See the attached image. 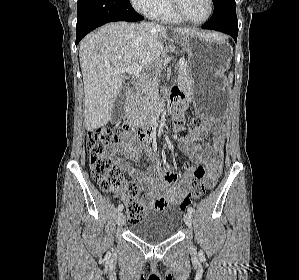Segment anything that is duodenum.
Wrapping results in <instances>:
<instances>
[{
  "label": "duodenum",
  "mask_w": 299,
  "mask_h": 280,
  "mask_svg": "<svg viewBox=\"0 0 299 280\" xmlns=\"http://www.w3.org/2000/svg\"><path fill=\"white\" fill-rule=\"evenodd\" d=\"M135 97L133 92L128 95V102H131ZM170 106L174 109L175 114L183 108V101L180 94L173 93L163 104V107ZM129 128L136 139L147 140L150 139L155 133L154 125H137L129 123Z\"/></svg>",
  "instance_id": "410a0bca"
}]
</instances>
